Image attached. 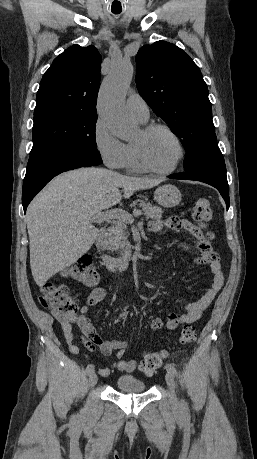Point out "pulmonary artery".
I'll return each instance as SVG.
<instances>
[{"mask_svg": "<svg viewBox=\"0 0 257 459\" xmlns=\"http://www.w3.org/2000/svg\"><path fill=\"white\" fill-rule=\"evenodd\" d=\"M127 111L141 122L149 118V108L145 100L137 93H131L126 100Z\"/></svg>", "mask_w": 257, "mask_h": 459, "instance_id": "1", "label": "pulmonary artery"}]
</instances>
